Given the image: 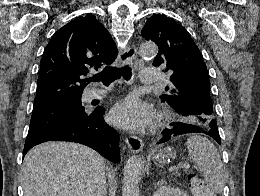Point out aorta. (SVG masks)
<instances>
[{"label":"aorta","mask_w":260,"mask_h":196,"mask_svg":"<svg viewBox=\"0 0 260 196\" xmlns=\"http://www.w3.org/2000/svg\"><path fill=\"white\" fill-rule=\"evenodd\" d=\"M158 47L153 42H144L140 46V55L144 58H153L157 55ZM145 161L139 156L128 159L123 173L122 196H139V183Z\"/></svg>","instance_id":"1"}]
</instances>
